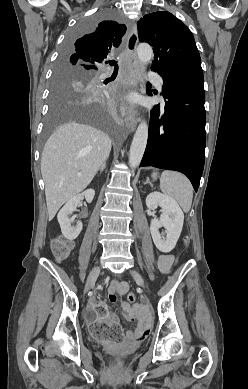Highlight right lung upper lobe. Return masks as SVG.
Returning a JSON list of instances; mask_svg holds the SVG:
<instances>
[{
    "mask_svg": "<svg viewBox=\"0 0 248 389\" xmlns=\"http://www.w3.org/2000/svg\"><path fill=\"white\" fill-rule=\"evenodd\" d=\"M126 26L115 21L100 22L96 28L72 42L63 64L66 67L96 71L114 48L119 47Z\"/></svg>",
    "mask_w": 248,
    "mask_h": 389,
    "instance_id": "1",
    "label": "right lung upper lobe"
}]
</instances>
